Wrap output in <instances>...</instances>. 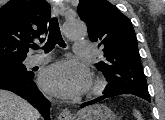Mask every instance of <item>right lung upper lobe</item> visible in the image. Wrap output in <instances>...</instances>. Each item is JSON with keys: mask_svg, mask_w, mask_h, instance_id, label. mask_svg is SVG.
I'll return each instance as SVG.
<instances>
[{"mask_svg": "<svg viewBox=\"0 0 165 120\" xmlns=\"http://www.w3.org/2000/svg\"><path fill=\"white\" fill-rule=\"evenodd\" d=\"M50 5L45 0H10L0 9V62L24 60L35 39L44 40Z\"/></svg>", "mask_w": 165, "mask_h": 120, "instance_id": "1", "label": "right lung upper lobe"}]
</instances>
